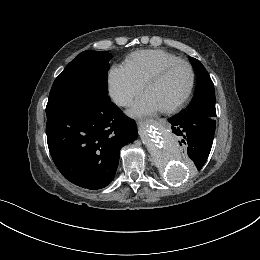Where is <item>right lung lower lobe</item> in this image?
Instances as JSON below:
<instances>
[{
  "mask_svg": "<svg viewBox=\"0 0 260 260\" xmlns=\"http://www.w3.org/2000/svg\"><path fill=\"white\" fill-rule=\"evenodd\" d=\"M51 157L61 174L87 189L106 187L115 177L120 149L136 139L133 119L108 96L88 104L70 103L46 109Z\"/></svg>",
  "mask_w": 260,
  "mask_h": 260,
  "instance_id": "right-lung-lower-lobe-1",
  "label": "right lung lower lobe"
}]
</instances>
